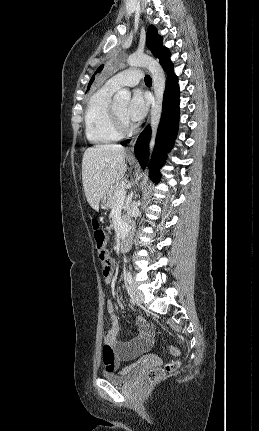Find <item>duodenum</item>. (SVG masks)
Wrapping results in <instances>:
<instances>
[{
	"mask_svg": "<svg viewBox=\"0 0 259 431\" xmlns=\"http://www.w3.org/2000/svg\"><path fill=\"white\" fill-rule=\"evenodd\" d=\"M120 236H121V242H120V244H119V248L121 249V250H125V249H127L128 247H129V244H128V242H126V237L128 236V230L126 229H121L120 230Z\"/></svg>",
	"mask_w": 259,
	"mask_h": 431,
	"instance_id": "1",
	"label": "duodenum"
}]
</instances>
